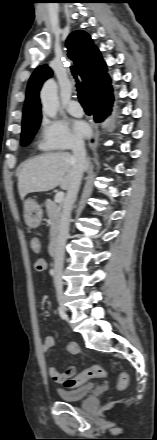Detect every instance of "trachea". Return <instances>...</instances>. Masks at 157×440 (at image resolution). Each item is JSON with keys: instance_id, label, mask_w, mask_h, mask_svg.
<instances>
[{"instance_id": "obj_1", "label": "trachea", "mask_w": 157, "mask_h": 440, "mask_svg": "<svg viewBox=\"0 0 157 440\" xmlns=\"http://www.w3.org/2000/svg\"><path fill=\"white\" fill-rule=\"evenodd\" d=\"M72 73L76 78L75 70L73 67H72ZM76 87H77V91H78L79 101H80L81 105L83 106L84 110L87 113H92L93 107H92V103H91V100L89 98V95H88L86 89L78 80H77Z\"/></svg>"}]
</instances>
